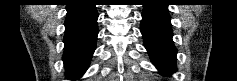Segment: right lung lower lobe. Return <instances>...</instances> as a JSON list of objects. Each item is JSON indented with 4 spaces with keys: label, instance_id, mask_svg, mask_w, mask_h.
I'll return each mask as SVG.
<instances>
[{
    "label": "right lung lower lobe",
    "instance_id": "obj_1",
    "mask_svg": "<svg viewBox=\"0 0 237 81\" xmlns=\"http://www.w3.org/2000/svg\"><path fill=\"white\" fill-rule=\"evenodd\" d=\"M97 17L93 4L67 5L63 61L69 79L80 78L88 68L96 47Z\"/></svg>",
    "mask_w": 237,
    "mask_h": 81
}]
</instances>
